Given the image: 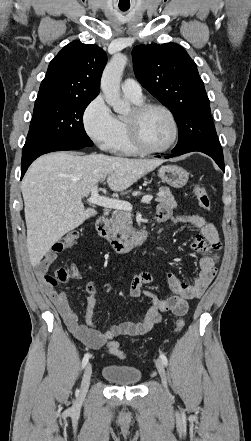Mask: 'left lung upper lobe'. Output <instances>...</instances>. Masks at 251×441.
<instances>
[{
  "instance_id": "5c2ea615",
  "label": "left lung upper lobe",
  "mask_w": 251,
  "mask_h": 441,
  "mask_svg": "<svg viewBox=\"0 0 251 441\" xmlns=\"http://www.w3.org/2000/svg\"><path fill=\"white\" fill-rule=\"evenodd\" d=\"M137 80L169 108L178 129L211 117L209 99L197 66L177 43L138 45L132 51Z\"/></svg>"
}]
</instances>
